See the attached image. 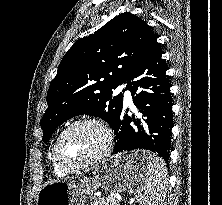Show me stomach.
I'll use <instances>...</instances> for the list:
<instances>
[{"label":"stomach","instance_id":"1","mask_svg":"<svg viewBox=\"0 0 222 205\" xmlns=\"http://www.w3.org/2000/svg\"><path fill=\"white\" fill-rule=\"evenodd\" d=\"M147 152L123 153L103 160L92 174L79 181L58 180L47 183L37 195V205H84L87 196L98 188L126 192L141 182L144 155Z\"/></svg>","mask_w":222,"mask_h":205}]
</instances>
